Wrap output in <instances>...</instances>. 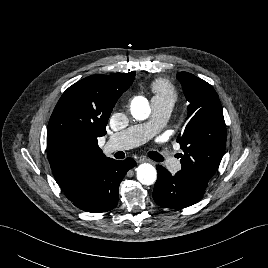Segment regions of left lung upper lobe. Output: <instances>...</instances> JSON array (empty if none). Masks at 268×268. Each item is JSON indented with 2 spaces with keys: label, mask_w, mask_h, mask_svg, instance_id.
Listing matches in <instances>:
<instances>
[{
  "label": "left lung upper lobe",
  "mask_w": 268,
  "mask_h": 268,
  "mask_svg": "<svg viewBox=\"0 0 268 268\" xmlns=\"http://www.w3.org/2000/svg\"><path fill=\"white\" fill-rule=\"evenodd\" d=\"M188 106V121L177 142L183 150L180 172L207 186L215 174L226 146V125L213 87L188 72L177 73Z\"/></svg>",
  "instance_id": "1"
}]
</instances>
